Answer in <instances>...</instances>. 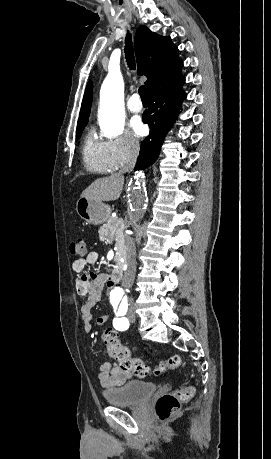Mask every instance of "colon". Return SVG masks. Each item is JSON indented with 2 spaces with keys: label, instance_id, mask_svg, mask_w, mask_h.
<instances>
[{
  "label": "colon",
  "instance_id": "1",
  "mask_svg": "<svg viewBox=\"0 0 271 459\" xmlns=\"http://www.w3.org/2000/svg\"><path fill=\"white\" fill-rule=\"evenodd\" d=\"M70 253L72 256L82 257L86 254V244L83 238H78L70 244ZM102 341L104 342L108 354L119 362L120 367L131 372L138 378H144L149 373V367L139 358L131 356L130 350L124 346L118 337V334L112 329H105L102 332ZM181 365V358L173 355L166 361L161 362L154 370L156 375L165 371L177 369ZM192 388H183L162 395L156 402V415L160 420H167L173 417L180 409L183 402L192 397Z\"/></svg>",
  "mask_w": 271,
  "mask_h": 459
}]
</instances>
